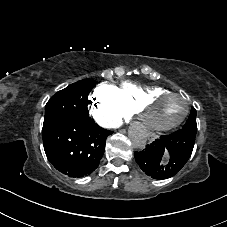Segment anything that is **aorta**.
Masks as SVG:
<instances>
[{
	"label": "aorta",
	"instance_id": "obj_1",
	"mask_svg": "<svg viewBox=\"0 0 227 227\" xmlns=\"http://www.w3.org/2000/svg\"><path fill=\"white\" fill-rule=\"evenodd\" d=\"M131 141L136 149H144L146 136L141 128H136L131 132Z\"/></svg>",
	"mask_w": 227,
	"mask_h": 227
}]
</instances>
